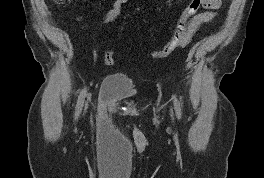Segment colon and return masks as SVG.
Wrapping results in <instances>:
<instances>
[{"label":"colon","instance_id":"5ec220e1","mask_svg":"<svg viewBox=\"0 0 264 178\" xmlns=\"http://www.w3.org/2000/svg\"><path fill=\"white\" fill-rule=\"evenodd\" d=\"M54 1L57 4H62L65 2V0ZM207 2V0H190L177 22L172 38L162 48L153 52L154 57L166 58L177 49L188 45L196 31V28L192 24V20L198 14L201 8H205L207 6ZM104 63L106 65H112L115 63V56L112 51L105 52Z\"/></svg>","mask_w":264,"mask_h":178}]
</instances>
